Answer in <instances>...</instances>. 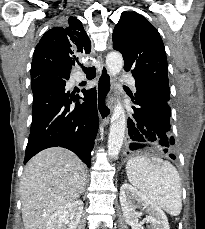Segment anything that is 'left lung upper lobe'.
<instances>
[{
  "mask_svg": "<svg viewBox=\"0 0 205 229\" xmlns=\"http://www.w3.org/2000/svg\"><path fill=\"white\" fill-rule=\"evenodd\" d=\"M113 49L123 55L124 70L132 73L137 89L156 92L169 102L164 44L156 28L146 18L137 13L123 12L113 31Z\"/></svg>",
  "mask_w": 205,
  "mask_h": 229,
  "instance_id": "obj_1",
  "label": "left lung upper lobe"
}]
</instances>
